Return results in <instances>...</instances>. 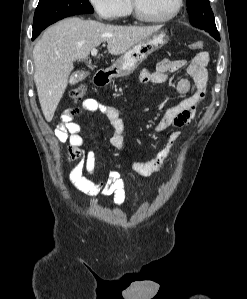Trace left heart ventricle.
Returning <instances> with one entry per match:
<instances>
[{"label":"left heart ventricle","instance_id":"obj_1","mask_svg":"<svg viewBox=\"0 0 247 299\" xmlns=\"http://www.w3.org/2000/svg\"><path fill=\"white\" fill-rule=\"evenodd\" d=\"M143 12L151 17H164L175 8L176 0H139Z\"/></svg>","mask_w":247,"mask_h":299}]
</instances>
